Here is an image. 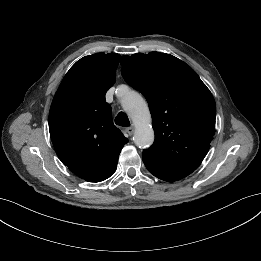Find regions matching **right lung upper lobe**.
<instances>
[{
  "instance_id": "cb5924a9",
  "label": "right lung upper lobe",
  "mask_w": 261,
  "mask_h": 261,
  "mask_svg": "<svg viewBox=\"0 0 261 261\" xmlns=\"http://www.w3.org/2000/svg\"><path fill=\"white\" fill-rule=\"evenodd\" d=\"M120 55L78 60L63 78L49 112V131L64 165L89 182L109 178L128 139L115 127L105 93L116 80Z\"/></svg>"
}]
</instances>
